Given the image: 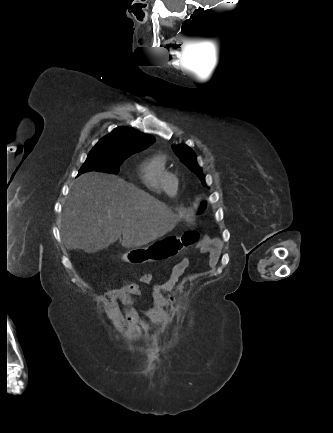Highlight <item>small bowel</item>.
<instances>
[{
  "mask_svg": "<svg viewBox=\"0 0 333 433\" xmlns=\"http://www.w3.org/2000/svg\"><path fill=\"white\" fill-rule=\"evenodd\" d=\"M199 249L204 253H208V266L210 268L215 267L220 258V246L214 242L205 243ZM180 250L181 246L177 255L180 254ZM188 266L189 257L180 256L172 266L170 274L165 281L155 282L151 273H145L140 278V281L132 282L125 287L109 292L107 296L108 300L120 301L122 304L128 306L124 317L120 315L113 316L106 312L108 321L117 327L125 342L142 341L145 327L139 321L141 314L161 325L164 331H168L172 326L171 321L162 313L164 307L169 306L176 315L184 316L182 298L171 297L170 293ZM143 286L150 288L151 303L148 306L141 305Z\"/></svg>",
  "mask_w": 333,
  "mask_h": 433,
  "instance_id": "1",
  "label": "small bowel"
}]
</instances>
